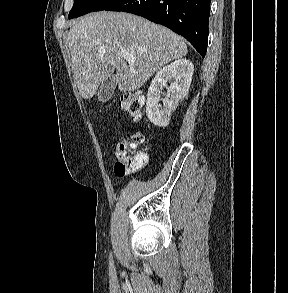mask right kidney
Here are the masks:
<instances>
[{
	"mask_svg": "<svg viewBox=\"0 0 288 293\" xmlns=\"http://www.w3.org/2000/svg\"><path fill=\"white\" fill-rule=\"evenodd\" d=\"M193 71L192 62L178 59L157 72L150 84L146 102V114L153 124L160 127L169 124L172 112L189 91ZM167 82H170L169 93L165 98H161ZM161 100L163 106L159 104Z\"/></svg>",
	"mask_w": 288,
	"mask_h": 293,
	"instance_id": "1",
	"label": "right kidney"
}]
</instances>
